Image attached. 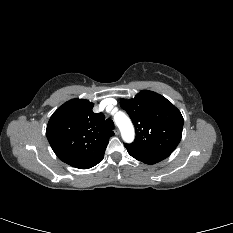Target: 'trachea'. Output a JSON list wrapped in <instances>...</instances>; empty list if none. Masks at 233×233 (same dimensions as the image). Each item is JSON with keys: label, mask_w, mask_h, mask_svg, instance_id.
<instances>
[{"label": "trachea", "mask_w": 233, "mask_h": 233, "mask_svg": "<svg viewBox=\"0 0 233 233\" xmlns=\"http://www.w3.org/2000/svg\"><path fill=\"white\" fill-rule=\"evenodd\" d=\"M106 126H107V128H109V129H114V122H113V120L107 119V120H106Z\"/></svg>", "instance_id": "1"}]
</instances>
